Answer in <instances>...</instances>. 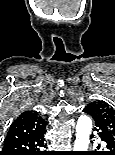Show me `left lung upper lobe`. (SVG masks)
Instances as JSON below:
<instances>
[{
    "instance_id": "5c2ea615",
    "label": "left lung upper lobe",
    "mask_w": 115,
    "mask_h": 155,
    "mask_svg": "<svg viewBox=\"0 0 115 155\" xmlns=\"http://www.w3.org/2000/svg\"><path fill=\"white\" fill-rule=\"evenodd\" d=\"M87 106H92L98 118L103 123L104 129L107 131L110 140L113 142L110 147H107L105 155L115 154V111L105 103L94 102Z\"/></svg>"
}]
</instances>
